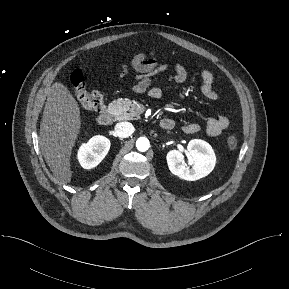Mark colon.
Instances as JSON below:
<instances>
[{
  "label": "colon",
  "mask_w": 289,
  "mask_h": 289,
  "mask_svg": "<svg viewBox=\"0 0 289 289\" xmlns=\"http://www.w3.org/2000/svg\"><path fill=\"white\" fill-rule=\"evenodd\" d=\"M70 81L74 95L83 108L95 112L103 110L105 102L102 93L96 90H88L80 71H74L71 75ZM237 145L238 141L236 137L229 136L227 138V146L230 150L236 149Z\"/></svg>",
  "instance_id": "colon-1"
}]
</instances>
